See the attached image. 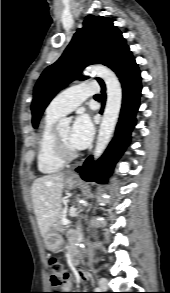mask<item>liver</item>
<instances>
[{
  "label": "liver",
  "instance_id": "1",
  "mask_svg": "<svg viewBox=\"0 0 170 293\" xmlns=\"http://www.w3.org/2000/svg\"><path fill=\"white\" fill-rule=\"evenodd\" d=\"M64 177V173H54L37 178L32 183L34 213L43 237L50 231L61 210Z\"/></svg>",
  "mask_w": 170,
  "mask_h": 293
}]
</instances>
